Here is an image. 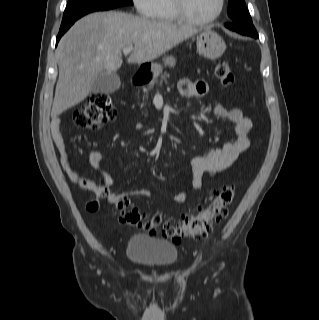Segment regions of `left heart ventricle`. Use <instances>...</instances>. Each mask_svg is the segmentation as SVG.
<instances>
[{"label": "left heart ventricle", "mask_w": 319, "mask_h": 320, "mask_svg": "<svg viewBox=\"0 0 319 320\" xmlns=\"http://www.w3.org/2000/svg\"><path fill=\"white\" fill-rule=\"evenodd\" d=\"M219 6V0H186V8L190 15L197 19L213 16Z\"/></svg>", "instance_id": "obj_1"}]
</instances>
